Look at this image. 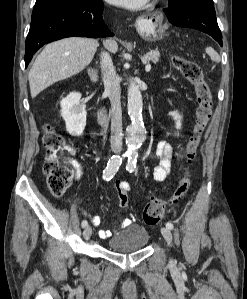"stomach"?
<instances>
[{"label": "stomach", "instance_id": "1", "mask_svg": "<svg viewBox=\"0 0 247 299\" xmlns=\"http://www.w3.org/2000/svg\"><path fill=\"white\" fill-rule=\"evenodd\" d=\"M137 30L139 34L145 40H160L163 38L164 35V28L159 26H154L147 20H140L137 23Z\"/></svg>", "mask_w": 247, "mask_h": 299}]
</instances>
